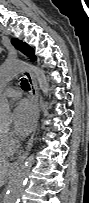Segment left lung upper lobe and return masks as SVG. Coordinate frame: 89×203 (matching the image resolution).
<instances>
[{
  "label": "left lung upper lobe",
  "mask_w": 89,
  "mask_h": 203,
  "mask_svg": "<svg viewBox=\"0 0 89 203\" xmlns=\"http://www.w3.org/2000/svg\"><path fill=\"white\" fill-rule=\"evenodd\" d=\"M12 44L27 57H30L32 61L36 60L33 48H31L27 43L19 39H12Z\"/></svg>",
  "instance_id": "left-lung-upper-lobe-1"
}]
</instances>
